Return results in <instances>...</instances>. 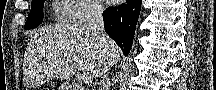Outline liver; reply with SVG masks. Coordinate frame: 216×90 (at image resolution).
I'll list each match as a JSON object with an SVG mask.
<instances>
[{
    "mask_svg": "<svg viewBox=\"0 0 216 90\" xmlns=\"http://www.w3.org/2000/svg\"><path fill=\"white\" fill-rule=\"evenodd\" d=\"M112 62L118 60L119 48L109 42ZM100 46L97 36L87 30L83 22H64L39 30L27 46L25 62L37 58L47 78H72L76 72L95 76L100 64Z\"/></svg>",
    "mask_w": 216,
    "mask_h": 90,
    "instance_id": "liver-1",
    "label": "liver"
}]
</instances>
